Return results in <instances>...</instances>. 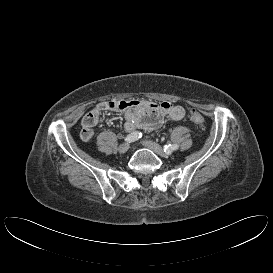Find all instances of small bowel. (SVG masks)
<instances>
[{
  "mask_svg": "<svg viewBox=\"0 0 273 273\" xmlns=\"http://www.w3.org/2000/svg\"><path fill=\"white\" fill-rule=\"evenodd\" d=\"M123 112L124 128L127 132L135 129L151 131L166 121H179L185 117V109L171 102L155 103L144 100H109L97 104L82 119L80 137L90 141L94 137V128L103 112Z\"/></svg>",
  "mask_w": 273,
  "mask_h": 273,
  "instance_id": "small-bowel-1",
  "label": "small bowel"
}]
</instances>
